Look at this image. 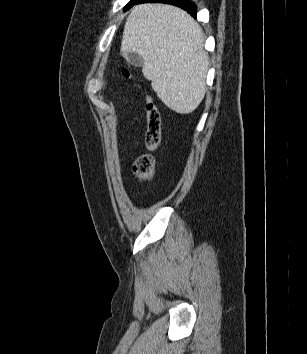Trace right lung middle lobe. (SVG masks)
I'll list each match as a JSON object with an SVG mask.
<instances>
[{
    "instance_id": "dd1d6c3e",
    "label": "right lung middle lobe",
    "mask_w": 307,
    "mask_h": 354,
    "mask_svg": "<svg viewBox=\"0 0 307 354\" xmlns=\"http://www.w3.org/2000/svg\"><path fill=\"white\" fill-rule=\"evenodd\" d=\"M137 2V0H131L125 7V9H129L130 7H132L135 3Z\"/></svg>"
}]
</instances>
